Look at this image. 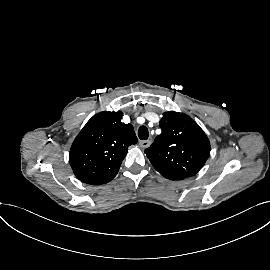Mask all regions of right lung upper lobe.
<instances>
[{
	"instance_id": "obj_1",
	"label": "right lung upper lobe",
	"mask_w": 270,
	"mask_h": 270,
	"mask_svg": "<svg viewBox=\"0 0 270 270\" xmlns=\"http://www.w3.org/2000/svg\"><path fill=\"white\" fill-rule=\"evenodd\" d=\"M123 113L100 112L75 138L69 162L75 176L84 183L100 185L118 173L128 147L137 143L133 126L121 122Z\"/></svg>"
}]
</instances>
